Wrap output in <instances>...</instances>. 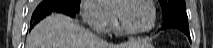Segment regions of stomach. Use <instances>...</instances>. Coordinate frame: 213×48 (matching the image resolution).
<instances>
[{"label": "stomach", "mask_w": 213, "mask_h": 48, "mask_svg": "<svg viewBox=\"0 0 213 48\" xmlns=\"http://www.w3.org/2000/svg\"><path fill=\"white\" fill-rule=\"evenodd\" d=\"M137 48H154V46L150 44V46L137 47Z\"/></svg>", "instance_id": "stomach-1"}]
</instances>
